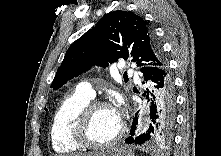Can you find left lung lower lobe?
<instances>
[{"mask_svg":"<svg viewBox=\"0 0 221 156\" xmlns=\"http://www.w3.org/2000/svg\"><path fill=\"white\" fill-rule=\"evenodd\" d=\"M143 84H147L146 99L150 102L148 111V128L135 139L129 137L126 143L142 144L146 141H162L170 138L175 123V91L173 75L167 62L161 66L151 67L143 72ZM138 112L133 119L130 135H135L138 124Z\"/></svg>","mask_w":221,"mask_h":156,"instance_id":"left-lung-lower-lobe-1","label":"left lung lower lobe"}]
</instances>
